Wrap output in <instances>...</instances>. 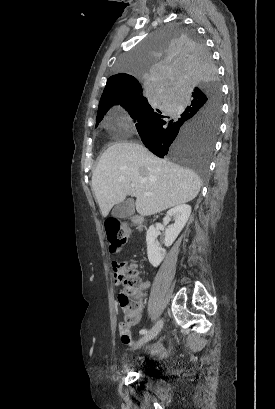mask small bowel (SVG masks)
<instances>
[{
    "label": "small bowel",
    "instance_id": "obj_1",
    "mask_svg": "<svg viewBox=\"0 0 275 409\" xmlns=\"http://www.w3.org/2000/svg\"><path fill=\"white\" fill-rule=\"evenodd\" d=\"M114 278V286L116 288H119L121 286V281L123 279V274L120 273V270L118 268H115L113 270ZM119 341L123 343L124 347H129L130 349L133 347L132 345L135 344V339L132 338V334L128 333L127 330H122L121 333L119 334ZM148 353L151 356H157V357H162L164 354V351L159 343H153L150 347H148Z\"/></svg>",
    "mask_w": 275,
    "mask_h": 409
}]
</instances>
